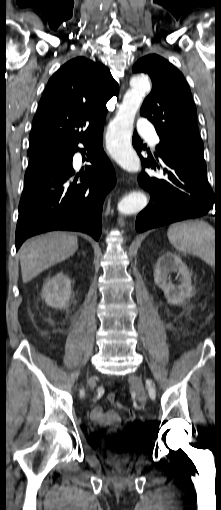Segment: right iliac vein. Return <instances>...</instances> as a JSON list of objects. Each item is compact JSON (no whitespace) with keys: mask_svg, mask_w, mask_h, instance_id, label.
Returning a JSON list of instances; mask_svg holds the SVG:
<instances>
[{"mask_svg":"<svg viewBox=\"0 0 221 510\" xmlns=\"http://www.w3.org/2000/svg\"><path fill=\"white\" fill-rule=\"evenodd\" d=\"M93 382H94V379L91 377V378L89 379V383H90V384H93Z\"/></svg>","mask_w":221,"mask_h":510,"instance_id":"63e3f726","label":"right iliac vein"}]
</instances>
